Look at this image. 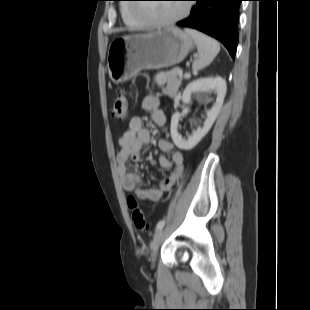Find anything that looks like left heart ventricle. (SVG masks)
<instances>
[{
  "instance_id": "left-heart-ventricle-1",
  "label": "left heart ventricle",
  "mask_w": 310,
  "mask_h": 310,
  "mask_svg": "<svg viewBox=\"0 0 310 310\" xmlns=\"http://www.w3.org/2000/svg\"><path fill=\"white\" fill-rule=\"evenodd\" d=\"M183 10L182 5L178 4H152L147 7L141 8L139 11L141 14L148 16L155 20H168L179 15Z\"/></svg>"
}]
</instances>
